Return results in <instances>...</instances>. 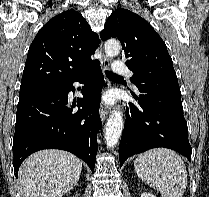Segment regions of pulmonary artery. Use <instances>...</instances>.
Instances as JSON below:
<instances>
[{"label": "pulmonary artery", "instance_id": "1", "mask_svg": "<svg viewBox=\"0 0 209 197\" xmlns=\"http://www.w3.org/2000/svg\"><path fill=\"white\" fill-rule=\"evenodd\" d=\"M113 70L117 74L126 75L131 77L133 75L132 70L127 67L122 60H117L114 64Z\"/></svg>", "mask_w": 209, "mask_h": 197}]
</instances>
